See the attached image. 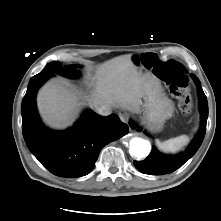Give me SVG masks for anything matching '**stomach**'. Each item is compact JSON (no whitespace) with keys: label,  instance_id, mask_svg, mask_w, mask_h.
Wrapping results in <instances>:
<instances>
[{"label":"stomach","instance_id":"obj_1","mask_svg":"<svg viewBox=\"0 0 221 221\" xmlns=\"http://www.w3.org/2000/svg\"><path fill=\"white\" fill-rule=\"evenodd\" d=\"M143 99L144 103L138 111V113H143L142 122L149 130L158 132L162 129L164 122L173 115L174 106L164 94L161 83L156 79L151 80Z\"/></svg>","mask_w":221,"mask_h":221}]
</instances>
